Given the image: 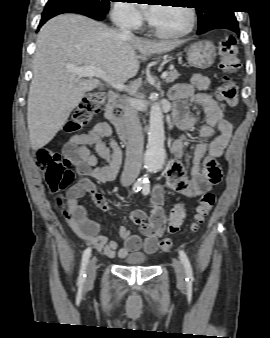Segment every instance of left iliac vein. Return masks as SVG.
<instances>
[{
    "mask_svg": "<svg viewBox=\"0 0 270 338\" xmlns=\"http://www.w3.org/2000/svg\"><path fill=\"white\" fill-rule=\"evenodd\" d=\"M173 267L175 269V273H176V277L178 279L179 282H183L184 278H185V271H184V267L182 265V262L179 261L178 259H173Z\"/></svg>",
    "mask_w": 270,
    "mask_h": 338,
    "instance_id": "obj_1",
    "label": "left iliac vein"
}]
</instances>
